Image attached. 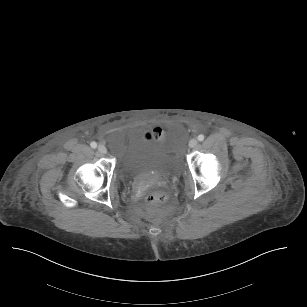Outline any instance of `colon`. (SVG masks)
Listing matches in <instances>:
<instances>
[{"label":"colon","mask_w":307,"mask_h":307,"mask_svg":"<svg viewBox=\"0 0 307 307\" xmlns=\"http://www.w3.org/2000/svg\"><path fill=\"white\" fill-rule=\"evenodd\" d=\"M146 138L149 140H164V132L160 127H154L150 132L146 133ZM146 200L151 205L163 206L168 201V196L163 191L151 190L146 195Z\"/></svg>","instance_id":"obj_1"}]
</instances>
